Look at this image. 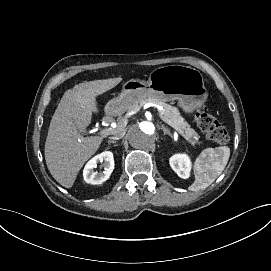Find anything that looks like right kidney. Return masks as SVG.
I'll return each mask as SVG.
<instances>
[{
  "mask_svg": "<svg viewBox=\"0 0 271 271\" xmlns=\"http://www.w3.org/2000/svg\"><path fill=\"white\" fill-rule=\"evenodd\" d=\"M98 162H103L104 171L97 172L94 168L97 167ZM114 170V158L113 153L110 151H104L99 155L93 157L85 165L83 170V177L85 182L98 185L109 179L112 171Z\"/></svg>",
  "mask_w": 271,
  "mask_h": 271,
  "instance_id": "1",
  "label": "right kidney"
}]
</instances>
